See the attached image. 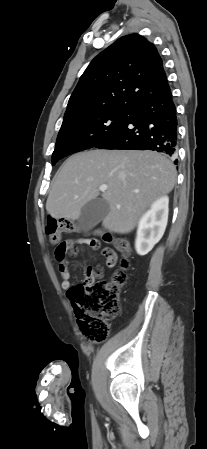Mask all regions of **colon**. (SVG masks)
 <instances>
[{
	"label": "colon",
	"mask_w": 207,
	"mask_h": 449,
	"mask_svg": "<svg viewBox=\"0 0 207 449\" xmlns=\"http://www.w3.org/2000/svg\"><path fill=\"white\" fill-rule=\"evenodd\" d=\"M77 225L68 219H53L47 222L45 232L49 241L56 244L55 256L59 265H67V257L75 256L79 252L77 241H61L62 233L78 232ZM100 238L112 243L114 248L122 255V268L116 271L111 280L83 281L67 291V297L74 306L78 324L82 332L93 342L106 339L110 333L109 320L115 319L120 311V291L127 284L128 276L125 272L130 267L131 245L126 238L113 237L109 232L96 229L93 237L83 243L92 248H99ZM111 248H104L102 254L105 264H115Z\"/></svg>",
	"instance_id": "5ec220e1"
}]
</instances>
